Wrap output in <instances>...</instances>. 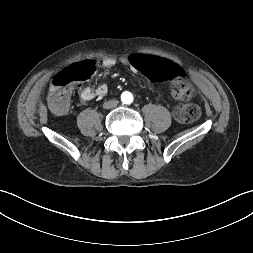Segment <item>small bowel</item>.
Wrapping results in <instances>:
<instances>
[{
	"label": "small bowel",
	"instance_id": "obj_1",
	"mask_svg": "<svg viewBox=\"0 0 253 253\" xmlns=\"http://www.w3.org/2000/svg\"><path fill=\"white\" fill-rule=\"evenodd\" d=\"M136 54V53H135ZM130 55L124 56L121 58V63L124 65H127L128 67L131 68V70L137 72L130 61ZM117 62V59L114 56L108 55L102 58L101 63L105 68H111L113 67ZM108 92V87L105 84H100L97 87H91V86H86L81 88L80 90V98L82 101H90L96 97H103L107 94Z\"/></svg>",
	"mask_w": 253,
	"mask_h": 253
}]
</instances>
